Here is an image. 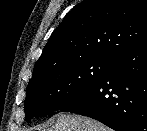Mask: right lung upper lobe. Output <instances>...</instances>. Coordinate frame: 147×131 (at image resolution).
I'll return each mask as SVG.
<instances>
[{
  "instance_id": "right-lung-upper-lobe-1",
  "label": "right lung upper lobe",
  "mask_w": 147,
  "mask_h": 131,
  "mask_svg": "<svg viewBox=\"0 0 147 131\" xmlns=\"http://www.w3.org/2000/svg\"><path fill=\"white\" fill-rule=\"evenodd\" d=\"M147 41V0H84L53 31L33 76L88 58L116 60Z\"/></svg>"
}]
</instances>
